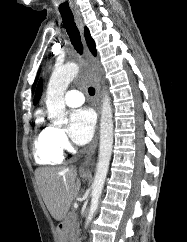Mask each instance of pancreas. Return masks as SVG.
Wrapping results in <instances>:
<instances>
[{"mask_svg": "<svg viewBox=\"0 0 187 242\" xmlns=\"http://www.w3.org/2000/svg\"><path fill=\"white\" fill-rule=\"evenodd\" d=\"M78 218L75 213V211H71L66 219L64 220V225L67 227L69 233L71 234H78L79 231V224H78Z\"/></svg>", "mask_w": 187, "mask_h": 242, "instance_id": "obj_1", "label": "pancreas"}]
</instances>
